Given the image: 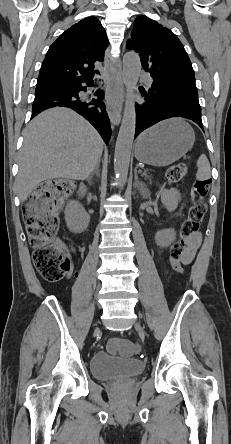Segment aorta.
Returning a JSON list of instances; mask_svg holds the SVG:
<instances>
[{
	"label": "aorta",
	"instance_id": "aorta-1",
	"mask_svg": "<svg viewBox=\"0 0 231 444\" xmlns=\"http://www.w3.org/2000/svg\"><path fill=\"white\" fill-rule=\"evenodd\" d=\"M141 71V62L138 54L130 52L123 57L124 84L127 97L122 122L116 141L114 154V172L117 182L123 185L128 176L130 155L136 128V109L134 93Z\"/></svg>",
	"mask_w": 231,
	"mask_h": 444
}]
</instances>
